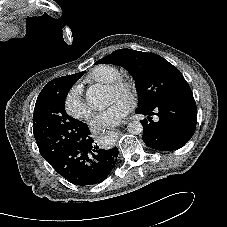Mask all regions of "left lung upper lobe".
Here are the masks:
<instances>
[{"mask_svg": "<svg viewBox=\"0 0 227 227\" xmlns=\"http://www.w3.org/2000/svg\"><path fill=\"white\" fill-rule=\"evenodd\" d=\"M104 63L122 66L133 76L139 95L138 109L177 98L193 97L181 72L154 53L119 49L98 60L95 65Z\"/></svg>", "mask_w": 227, "mask_h": 227, "instance_id": "1", "label": "left lung upper lobe"}]
</instances>
